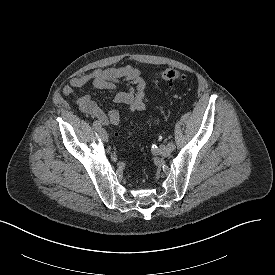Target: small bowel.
<instances>
[{
    "label": "small bowel",
    "instance_id": "c3829d8e",
    "mask_svg": "<svg viewBox=\"0 0 275 275\" xmlns=\"http://www.w3.org/2000/svg\"><path fill=\"white\" fill-rule=\"evenodd\" d=\"M125 81L129 89L121 92L116 89L115 84ZM92 85L89 92L78 95L75 89H82ZM148 82L142 72L133 66L98 68L87 74L73 77L69 84L64 86L62 92L65 96H70L79 110L86 116L95 118L102 125H117L121 120L118 110L112 109L103 111L92 99V92L95 90H107L113 95V100L117 104L128 107V115L141 112L146 109L148 103L147 94Z\"/></svg>",
    "mask_w": 275,
    "mask_h": 275
}]
</instances>
